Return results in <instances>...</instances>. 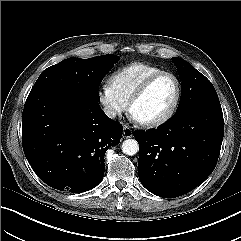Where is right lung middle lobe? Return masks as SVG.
Instances as JSON below:
<instances>
[{
    "instance_id": "dd1d6c3e",
    "label": "right lung middle lobe",
    "mask_w": 241,
    "mask_h": 241,
    "mask_svg": "<svg viewBox=\"0 0 241 241\" xmlns=\"http://www.w3.org/2000/svg\"><path fill=\"white\" fill-rule=\"evenodd\" d=\"M119 59L117 55L89 59L68 58L45 69L31 92L51 86H64L78 91L91 101L100 102L99 85Z\"/></svg>"
}]
</instances>
